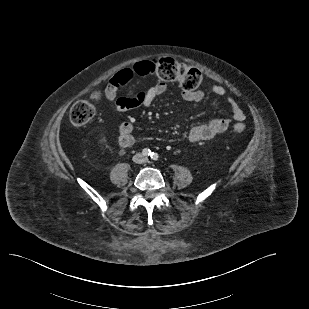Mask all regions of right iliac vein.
Here are the masks:
<instances>
[{
	"mask_svg": "<svg viewBox=\"0 0 309 309\" xmlns=\"http://www.w3.org/2000/svg\"><path fill=\"white\" fill-rule=\"evenodd\" d=\"M141 160H142L141 155H136L135 158H134V161H135L136 163L141 162Z\"/></svg>",
	"mask_w": 309,
	"mask_h": 309,
	"instance_id": "1",
	"label": "right iliac vein"
}]
</instances>
